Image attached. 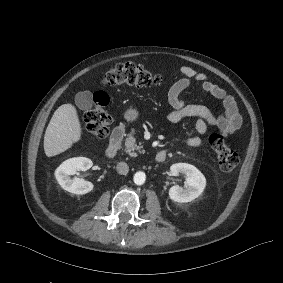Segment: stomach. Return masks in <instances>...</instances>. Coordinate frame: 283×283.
I'll return each mask as SVG.
<instances>
[{
    "label": "stomach",
    "mask_w": 283,
    "mask_h": 283,
    "mask_svg": "<svg viewBox=\"0 0 283 283\" xmlns=\"http://www.w3.org/2000/svg\"><path fill=\"white\" fill-rule=\"evenodd\" d=\"M138 116V112L134 109H129L125 115H124V118L127 120V121H133L137 118Z\"/></svg>",
    "instance_id": "1"
}]
</instances>
